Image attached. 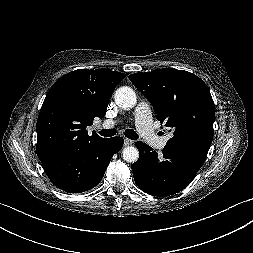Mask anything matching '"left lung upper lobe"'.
<instances>
[{
	"instance_id": "1",
	"label": "left lung upper lobe",
	"mask_w": 253,
	"mask_h": 253,
	"mask_svg": "<svg viewBox=\"0 0 253 253\" xmlns=\"http://www.w3.org/2000/svg\"><path fill=\"white\" fill-rule=\"evenodd\" d=\"M129 79L153 105L161 124L173 131L165 148L209 149L214 132V102L202 79L176 69L134 73Z\"/></svg>"
}]
</instances>
